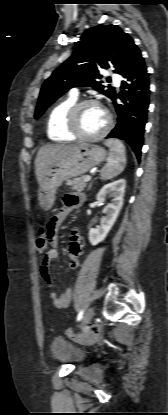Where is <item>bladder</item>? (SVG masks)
Wrapping results in <instances>:
<instances>
[{"mask_svg":"<svg viewBox=\"0 0 168 415\" xmlns=\"http://www.w3.org/2000/svg\"><path fill=\"white\" fill-rule=\"evenodd\" d=\"M52 356L65 363L79 364L85 357V352L63 337H55L50 344Z\"/></svg>","mask_w":168,"mask_h":415,"instance_id":"1","label":"bladder"}]
</instances>
